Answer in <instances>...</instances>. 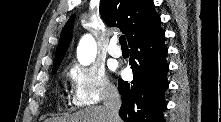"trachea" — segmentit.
Wrapping results in <instances>:
<instances>
[{"instance_id": "obj_1", "label": "trachea", "mask_w": 221, "mask_h": 122, "mask_svg": "<svg viewBox=\"0 0 221 122\" xmlns=\"http://www.w3.org/2000/svg\"><path fill=\"white\" fill-rule=\"evenodd\" d=\"M119 42H120L122 47H127L126 38H125L124 35L120 36Z\"/></svg>"}]
</instances>
